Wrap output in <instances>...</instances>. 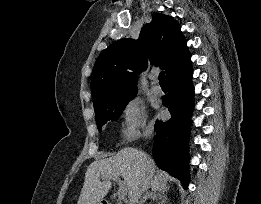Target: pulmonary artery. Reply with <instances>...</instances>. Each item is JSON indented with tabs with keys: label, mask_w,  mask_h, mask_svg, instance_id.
<instances>
[{
	"label": "pulmonary artery",
	"mask_w": 261,
	"mask_h": 204,
	"mask_svg": "<svg viewBox=\"0 0 261 204\" xmlns=\"http://www.w3.org/2000/svg\"><path fill=\"white\" fill-rule=\"evenodd\" d=\"M152 79L154 80L155 84L152 86V92L155 94V95H161L162 94V89L161 87L156 84V76H153Z\"/></svg>",
	"instance_id": "obj_1"
}]
</instances>
